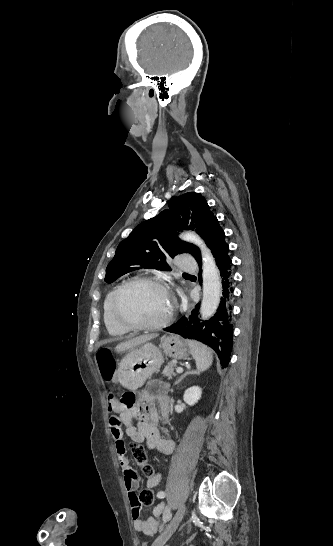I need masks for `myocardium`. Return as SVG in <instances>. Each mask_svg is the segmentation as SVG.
<instances>
[{
	"label": "myocardium",
	"instance_id": "myocardium-1",
	"mask_svg": "<svg viewBox=\"0 0 333 546\" xmlns=\"http://www.w3.org/2000/svg\"><path fill=\"white\" fill-rule=\"evenodd\" d=\"M138 283H147L162 288L171 298V308L168 315L161 321L156 323H139L128 320L121 312V298L124 291L130 286ZM112 313L116 322L128 331H151L159 330L167 327L174 319L176 313V303L171 296L167 285L157 277L153 276H134L123 283L117 288L113 301H112Z\"/></svg>",
	"mask_w": 333,
	"mask_h": 546
}]
</instances>
